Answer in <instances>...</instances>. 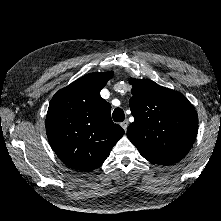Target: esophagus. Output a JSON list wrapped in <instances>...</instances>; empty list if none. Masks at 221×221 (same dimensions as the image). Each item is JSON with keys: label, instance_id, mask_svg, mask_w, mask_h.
I'll use <instances>...</instances> for the list:
<instances>
[{"label": "esophagus", "instance_id": "obj_1", "mask_svg": "<svg viewBox=\"0 0 221 221\" xmlns=\"http://www.w3.org/2000/svg\"><path fill=\"white\" fill-rule=\"evenodd\" d=\"M129 121L125 120L121 123V127L126 131L127 127H128Z\"/></svg>", "mask_w": 221, "mask_h": 221}]
</instances>
